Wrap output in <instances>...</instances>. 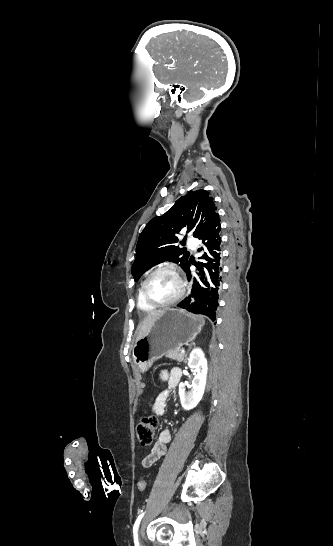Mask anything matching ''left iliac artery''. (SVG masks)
I'll return each mask as SVG.
<instances>
[{"label":"left iliac artery","instance_id":"left-iliac-artery-1","mask_svg":"<svg viewBox=\"0 0 333 546\" xmlns=\"http://www.w3.org/2000/svg\"><path fill=\"white\" fill-rule=\"evenodd\" d=\"M144 514H145V512L141 513V514L137 517V519H136V521H135V523H134V526H133V536H134V543H135V546H139L138 534H137V532H138L139 524H140V522H141V520H142Z\"/></svg>","mask_w":333,"mask_h":546}]
</instances>
